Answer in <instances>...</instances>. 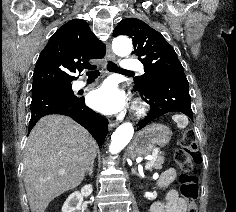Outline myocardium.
<instances>
[{
    "mask_svg": "<svg viewBox=\"0 0 236 212\" xmlns=\"http://www.w3.org/2000/svg\"><path fill=\"white\" fill-rule=\"evenodd\" d=\"M135 111H136L137 116L140 117V116H142L145 113L146 108L143 105L138 104L135 107Z\"/></svg>",
    "mask_w": 236,
    "mask_h": 212,
    "instance_id": "1",
    "label": "myocardium"
}]
</instances>
